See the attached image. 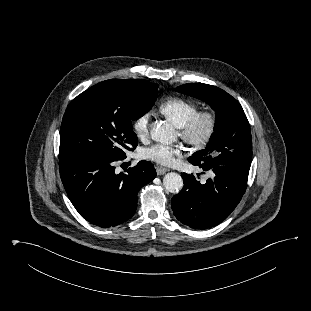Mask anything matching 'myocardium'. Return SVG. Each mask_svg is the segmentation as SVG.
<instances>
[{"label":"myocardium","mask_w":311,"mask_h":311,"mask_svg":"<svg viewBox=\"0 0 311 311\" xmlns=\"http://www.w3.org/2000/svg\"><path fill=\"white\" fill-rule=\"evenodd\" d=\"M217 125L216 111L211 109L197 111L179 128V136L186 144L203 148L215 135Z\"/></svg>","instance_id":"f54148a6"}]
</instances>
